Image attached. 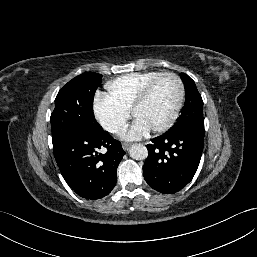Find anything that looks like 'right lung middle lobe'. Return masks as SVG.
I'll list each match as a JSON object with an SVG mask.
<instances>
[{
  "instance_id": "obj_1",
  "label": "right lung middle lobe",
  "mask_w": 257,
  "mask_h": 257,
  "mask_svg": "<svg viewBox=\"0 0 257 257\" xmlns=\"http://www.w3.org/2000/svg\"><path fill=\"white\" fill-rule=\"evenodd\" d=\"M102 75L80 74L59 91L50 117L52 142L69 134L94 135L103 132L93 113V99Z\"/></svg>"
}]
</instances>
